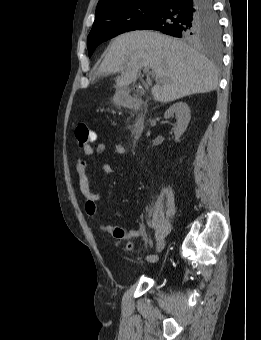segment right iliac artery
<instances>
[{
  "label": "right iliac artery",
  "mask_w": 261,
  "mask_h": 340,
  "mask_svg": "<svg viewBox=\"0 0 261 340\" xmlns=\"http://www.w3.org/2000/svg\"><path fill=\"white\" fill-rule=\"evenodd\" d=\"M148 225H149L150 227H154L153 221H148ZM146 259H147V261H148L149 263H155V262L158 261V256L155 255V254H151V255H148Z\"/></svg>",
  "instance_id": "1"
}]
</instances>
